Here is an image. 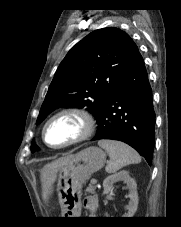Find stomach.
I'll return each mask as SVG.
<instances>
[{
  "label": "stomach",
  "instance_id": "obj_1",
  "mask_svg": "<svg viewBox=\"0 0 181 227\" xmlns=\"http://www.w3.org/2000/svg\"><path fill=\"white\" fill-rule=\"evenodd\" d=\"M106 162L105 152L95 146L88 147L64 166L58 175L57 193L63 217H75L80 212L82 187L86 180L100 170Z\"/></svg>",
  "mask_w": 181,
  "mask_h": 227
}]
</instances>
